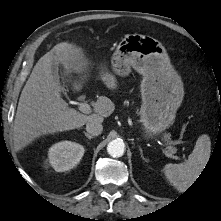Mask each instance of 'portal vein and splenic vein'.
I'll return each instance as SVG.
<instances>
[{
    "label": "portal vein and splenic vein",
    "mask_w": 221,
    "mask_h": 221,
    "mask_svg": "<svg viewBox=\"0 0 221 221\" xmlns=\"http://www.w3.org/2000/svg\"><path fill=\"white\" fill-rule=\"evenodd\" d=\"M79 110L85 114H90L92 112L90 105L86 102L79 104ZM162 152L169 158L179 159V157L169 154L165 149H162Z\"/></svg>",
    "instance_id": "portal-vein-and-splenic-vein-1"
}]
</instances>
